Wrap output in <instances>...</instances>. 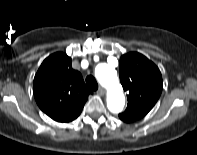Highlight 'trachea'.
<instances>
[{
	"label": "trachea",
	"instance_id": "1",
	"mask_svg": "<svg viewBox=\"0 0 197 155\" xmlns=\"http://www.w3.org/2000/svg\"><path fill=\"white\" fill-rule=\"evenodd\" d=\"M86 84L92 90H97L98 89V83L92 75L87 76Z\"/></svg>",
	"mask_w": 197,
	"mask_h": 155
}]
</instances>
